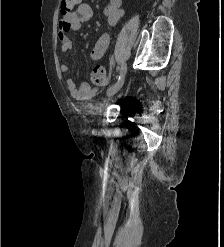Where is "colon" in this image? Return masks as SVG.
<instances>
[{"instance_id": "5ec220e1", "label": "colon", "mask_w": 224, "mask_h": 247, "mask_svg": "<svg viewBox=\"0 0 224 247\" xmlns=\"http://www.w3.org/2000/svg\"><path fill=\"white\" fill-rule=\"evenodd\" d=\"M81 0H61L60 3V11L63 15H67L72 12L75 6H77ZM92 80L97 85H106L107 84V76L105 70L97 66L94 68L92 72Z\"/></svg>"}]
</instances>
